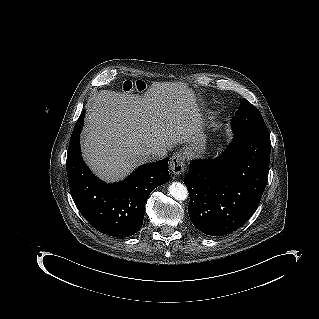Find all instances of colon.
<instances>
[{
  "label": "colon",
  "instance_id": "obj_1",
  "mask_svg": "<svg viewBox=\"0 0 319 319\" xmlns=\"http://www.w3.org/2000/svg\"><path fill=\"white\" fill-rule=\"evenodd\" d=\"M146 89V84L143 81H126L123 84V90L125 92L137 91L142 92Z\"/></svg>",
  "mask_w": 319,
  "mask_h": 319
}]
</instances>
